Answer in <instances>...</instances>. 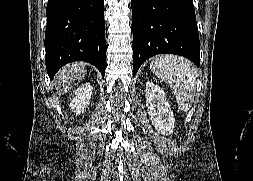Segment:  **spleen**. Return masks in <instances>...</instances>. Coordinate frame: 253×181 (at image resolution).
Returning a JSON list of instances; mask_svg holds the SVG:
<instances>
[{
	"label": "spleen",
	"mask_w": 253,
	"mask_h": 181,
	"mask_svg": "<svg viewBox=\"0 0 253 181\" xmlns=\"http://www.w3.org/2000/svg\"><path fill=\"white\" fill-rule=\"evenodd\" d=\"M151 71L168 83L176 96L178 106L186 111L194 100L197 68L189 60L172 55H159L150 63Z\"/></svg>",
	"instance_id": "spleen-1"
}]
</instances>
